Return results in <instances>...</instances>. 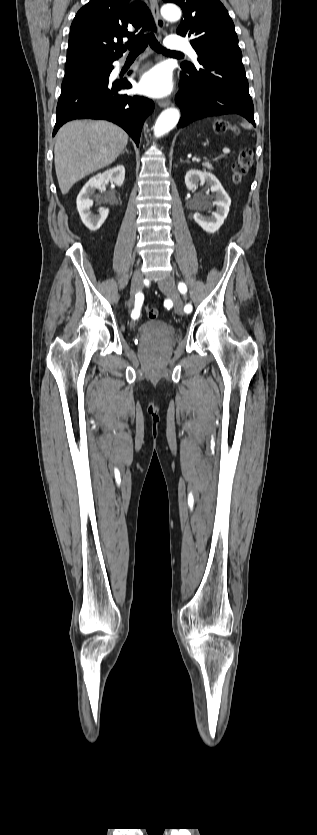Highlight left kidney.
<instances>
[{
  "label": "left kidney",
  "mask_w": 317,
  "mask_h": 835,
  "mask_svg": "<svg viewBox=\"0 0 317 835\" xmlns=\"http://www.w3.org/2000/svg\"><path fill=\"white\" fill-rule=\"evenodd\" d=\"M205 183L211 192L216 193V201L213 203L216 206V211L212 212L211 217H204L199 212H195L193 219L203 230L214 233L221 227L227 217L231 199L212 173L200 170H189L186 173L185 184L188 190H194L198 185H204ZM207 207L204 204L198 206L199 209H206Z\"/></svg>",
  "instance_id": "5707ae66"
}]
</instances>
